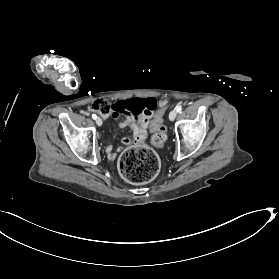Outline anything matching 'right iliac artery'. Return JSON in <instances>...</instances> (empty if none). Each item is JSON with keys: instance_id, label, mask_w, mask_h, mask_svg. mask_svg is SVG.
I'll return each instance as SVG.
<instances>
[{"instance_id": "right-iliac-artery-1", "label": "right iliac artery", "mask_w": 279, "mask_h": 279, "mask_svg": "<svg viewBox=\"0 0 279 279\" xmlns=\"http://www.w3.org/2000/svg\"><path fill=\"white\" fill-rule=\"evenodd\" d=\"M92 118H93V119H96V118H97V116H96L95 114H93V115H92Z\"/></svg>"}]
</instances>
